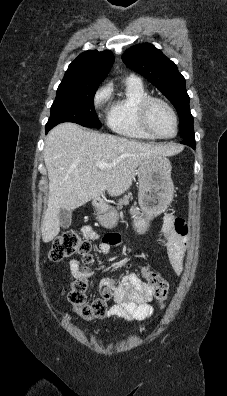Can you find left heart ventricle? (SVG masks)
<instances>
[{
    "instance_id": "left-heart-ventricle-1",
    "label": "left heart ventricle",
    "mask_w": 227,
    "mask_h": 396,
    "mask_svg": "<svg viewBox=\"0 0 227 396\" xmlns=\"http://www.w3.org/2000/svg\"><path fill=\"white\" fill-rule=\"evenodd\" d=\"M149 120L153 129L163 136H171L175 132V123L169 110L160 103H154L149 112Z\"/></svg>"
}]
</instances>
